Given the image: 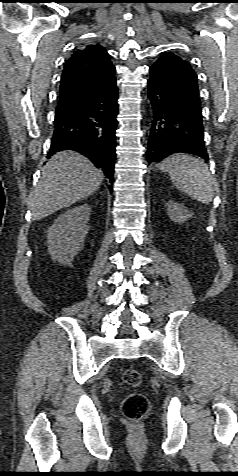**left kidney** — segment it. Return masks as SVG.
Listing matches in <instances>:
<instances>
[{"label":"left kidney","instance_id":"left-kidney-1","mask_svg":"<svg viewBox=\"0 0 238 476\" xmlns=\"http://www.w3.org/2000/svg\"><path fill=\"white\" fill-rule=\"evenodd\" d=\"M165 205L169 218L174 222L182 223L193 216V213L187 210L182 204L168 201Z\"/></svg>","mask_w":238,"mask_h":476}]
</instances>
